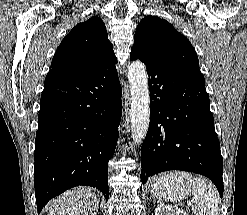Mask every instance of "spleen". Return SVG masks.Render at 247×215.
Returning a JSON list of instances; mask_svg holds the SVG:
<instances>
[{
    "instance_id": "1",
    "label": "spleen",
    "mask_w": 247,
    "mask_h": 215,
    "mask_svg": "<svg viewBox=\"0 0 247 215\" xmlns=\"http://www.w3.org/2000/svg\"><path fill=\"white\" fill-rule=\"evenodd\" d=\"M191 182L195 196V203L192 205L194 214L217 215L218 198L215 190L200 177H194Z\"/></svg>"
}]
</instances>
